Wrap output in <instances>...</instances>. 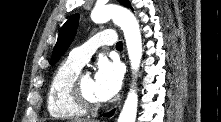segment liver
Returning <instances> with one entry per match:
<instances>
[{"label":"liver","mask_w":221,"mask_h":122,"mask_svg":"<svg viewBox=\"0 0 221 122\" xmlns=\"http://www.w3.org/2000/svg\"><path fill=\"white\" fill-rule=\"evenodd\" d=\"M75 122H92L90 119H78Z\"/></svg>","instance_id":"liver-1"}]
</instances>
